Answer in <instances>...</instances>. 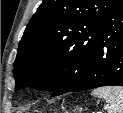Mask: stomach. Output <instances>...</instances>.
Returning <instances> with one entry per match:
<instances>
[{
    "label": "stomach",
    "instance_id": "0dacf381",
    "mask_svg": "<svg viewBox=\"0 0 123 113\" xmlns=\"http://www.w3.org/2000/svg\"><path fill=\"white\" fill-rule=\"evenodd\" d=\"M76 110H78V111H79V110H80V108H78V107H77V108H76Z\"/></svg>",
    "mask_w": 123,
    "mask_h": 113
}]
</instances>
